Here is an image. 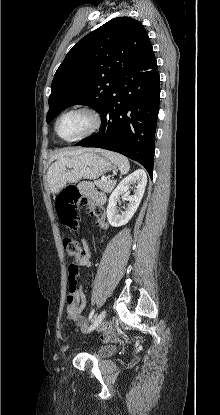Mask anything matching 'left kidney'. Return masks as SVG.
Here are the masks:
<instances>
[{
	"mask_svg": "<svg viewBox=\"0 0 220 415\" xmlns=\"http://www.w3.org/2000/svg\"><path fill=\"white\" fill-rule=\"evenodd\" d=\"M131 184H137L134 195H130L129 188ZM146 184L147 175L142 169L134 171L118 184L112 192L107 206V218L111 226L120 227L128 223L142 200ZM121 195L129 203L127 208L124 207L125 210L120 214L117 210V202H119Z\"/></svg>",
	"mask_w": 220,
	"mask_h": 415,
	"instance_id": "5707ae66",
	"label": "left kidney"
}]
</instances>
